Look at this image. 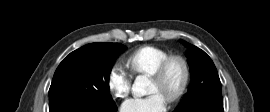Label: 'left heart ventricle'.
Returning a JSON list of instances; mask_svg holds the SVG:
<instances>
[{
    "label": "left heart ventricle",
    "instance_id": "1",
    "mask_svg": "<svg viewBox=\"0 0 270 112\" xmlns=\"http://www.w3.org/2000/svg\"><path fill=\"white\" fill-rule=\"evenodd\" d=\"M181 78L182 68L179 64L175 63L171 66L164 83H159L154 79H151L148 93H158L167 99L168 96L176 90L180 84Z\"/></svg>",
    "mask_w": 270,
    "mask_h": 112
}]
</instances>
